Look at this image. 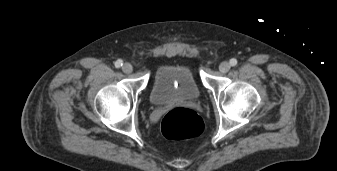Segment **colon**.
Returning a JSON list of instances; mask_svg holds the SVG:
<instances>
[{"label":"colon","mask_w":337,"mask_h":171,"mask_svg":"<svg viewBox=\"0 0 337 171\" xmlns=\"http://www.w3.org/2000/svg\"><path fill=\"white\" fill-rule=\"evenodd\" d=\"M204 129L201 117L188 108H175L168 112L161 123L163 135L171 140H184L199 136Z\"/></svg>","instance_id":"obj_1"}]
</instances>
